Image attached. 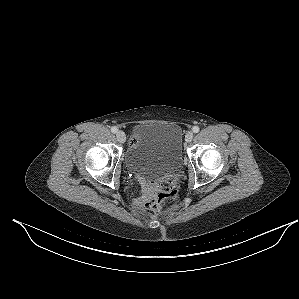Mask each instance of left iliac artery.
I'll use <instances>...</instances> for the list:
<instances>
[{"mask_svg": "<svg viewBox=\"0 0 299 299\" xmlns=\"http://www.w3.org/2000/svg\"><path fill=\"white\" fill-rule=\"evenodd\" d=\"M192 130L194 133H198L200 129L198 126H194Z\"/></svg>", "mask_w": 299, "mask_h": 299, "instance_id": "obj_1", "label": "left iliac artery"}]
</instances>
